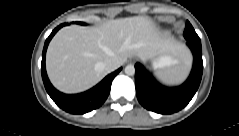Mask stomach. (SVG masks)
I'll use <instances>...</instances> for the list:
<instances>
[{
    "label": "stomach",
    "mask_w": 239,
    "mask_h": 136,
    "mask_svg": "<svg viewBox=\"0 0 239 136\" xmlns=\"http://www.w3.org/2000/svg\"><path fill=\"white\" fill-rule=\"evenodd\" d=\"M175 62L176 60H174L173 57L167 54L159 55L157 58L153 60L154 66L158 68H164V67L170 66L174 64Z\"/></svg>",
    "instance_id": "0dacf381"
}]
</instances>
